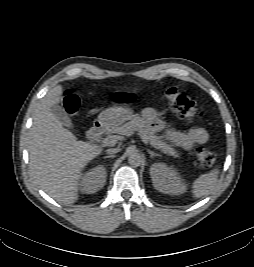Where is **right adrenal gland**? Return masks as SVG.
<instances>
[{
	"label": "right adrenal gland",
	"mask_w": 254,
	"mask_h": 267,
	"mask_svg": "<svg viewBox=\"0 0 254 267\" xmlns=\"http://www.w3.org/2000/svg\"><path fill=\"white\" fill-rule=\"evenodd\" d=\"M114 157H115L114 155L105 156V158H114Z\"/></svg>",
	"instance_id": "2a0ac1e0"
}]
</instances>
